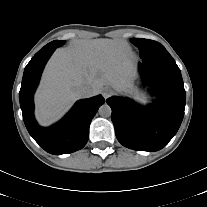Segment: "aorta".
<instances>
[{
    "label": "aorta",
    "mask_w": 207,
    "mask_h": 207,
    "mask_svg": "<svg viewBox=\"0 0 207 207\" xmlns=\"http://www.w3.org/2000/svg\"><path fill=\"white\" fill-rule=\"evenodd\" d=\"M98 113L102 117H110L112 110L108 104H103L99 107Z\"/></svg>",
    "instance_id": "obj_1"
}]
</instances>
